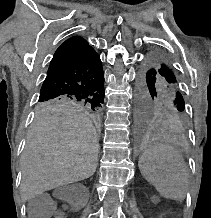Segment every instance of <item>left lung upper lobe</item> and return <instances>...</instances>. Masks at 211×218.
Instances as JSON below:
<instances>
[{
    "instance_id": "obj_1",
    "label": "left lung upper lobe",
    "mask_w": 211,
    "mask_h": 218,
    "mask_svg": "<svg viewBox=\"0 0 211 218\" xmlns=\"http://www.w3.org/2000/svg\"><path fill=\"white\" fill-rule=\"evenodd\" d=\"M141 80V125L159 124L182 129L185 124V103L180 92L181 85L162 54L157 51L147 54Z\"/></svg>"
}]
</instances>
